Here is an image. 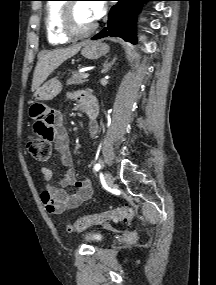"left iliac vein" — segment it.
I'll list each match as a JSON object with an SVG mask.
<instances>
[{"instance_id": "1", "label": "left iliac vein", "mask_w": 216, "mask_h": 285, "mask_svg": "<svg viewBox=\"0 0 216 285\" xmlns=\"http://www.w3.org/2000/svg\"><path fill=\"white\" fill-rule=\"evenodd\" d=\"M105 181H106V184H107V186L109 188H113L114 187V178L111 175V173L106 172V174H105Z\"/></svg>"}]
</instances>
